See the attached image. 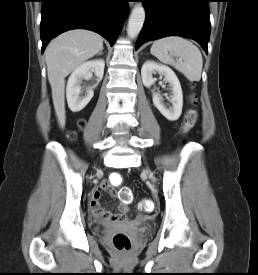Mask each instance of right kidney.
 <instances>
[{"label":"right kidney","mask_w":258,"mask_h":275,"mask_svg":"<svg viewBox=\"0 0 258 275\" xmlns=\"http://www.w3.org/2000/svg\"><path fill=\"white\" fill-rule=\"evenodd\" d=\"M104 67V60L98 59L85 62L72 72L66 88L67 102L71 111H81L94 95L93 87H91L87 89L84 96H80L81 80L88 77L91 71L95 73L98 81L101 80L104 74Z\"/></svg>","instance_id":"ca27d5eb"}]
</instances>
